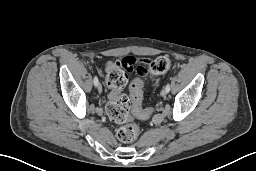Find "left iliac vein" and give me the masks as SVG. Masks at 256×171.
Returning a JSON list of instances; mask_svg holds the SVG:
<instances>
[{
	"instance_id": "1",
	"label": "left iliac vein",
	"mask_w": 256,
	"mask_h": 171,
	"mask_svg": "<svg viewBox=\"0 0 256 171\" xmlns=\"http://www.w3.org/2000/svg\"><path fill=\"white\" fill-rule=\"evenodd\" d=\"M167 90L164 88L162 91H161V95L162 97H165L167 95Z\"/></svg>"
}]
</instances>
